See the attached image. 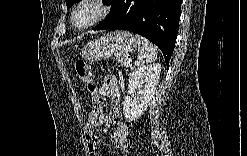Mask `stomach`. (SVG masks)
Returning a JSON list of instances; mask_svg holds the SVG:
<instances>
[{"instance_id":"0dacf381","label":"stomach","mask_w":247,"mask_h":156,"mask_svg":"<svg viewBox=\"0 0 247 156\" xmlns=\"http://www.w3.org/2000/svg\"><path fill=\"white\" fill-rule=\"evenodd\" d=\"M136 47V39L130 32L118 30L88 43L82 50V57L90 63H95L111 57L114 53L128 54Z\"/></svg>"}]
</instances>
